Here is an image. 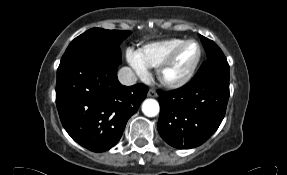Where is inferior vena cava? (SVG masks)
Segmentation results:
<instances>
[{
    "instance_id": "1",
    "label": "inferior vena cava",
    "mask_w": 287,
    "mask_h": 175,
    "mask_svg": "<svg viewBox=\"0 0 287 175\" xmlns=\"http://www.w3.org/2000/svg\"><path fill=\"white\" fill-rule=\"evenodd\" d=\"M118 80L122 85L131 86L137 81V77L129 67H123L118 72Z\"/></svg>"
}]
</instances>
